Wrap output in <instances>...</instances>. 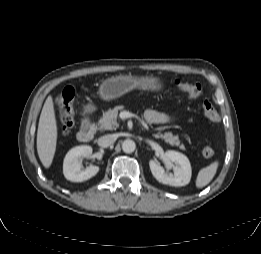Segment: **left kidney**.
<instances>
[{
    "instance_id": "5707ae66",
    "label": "left kidney",
    "mask_w": 261,
    "mask_h": 254,
    "mask_svg": "<svg viewBox=\"0 0 261 254\" xmlns=\"http://www.w3.org/2000/svg\"><path fill=\"white\" fill-rule=\"evenodd\" d=\"M164 158L169 163H174L173 174L166 173L164 168L154 160L149 161L152 175L157 181L170 186H185L190 182L192 170L188 158L177 151L168 150L164 154Z\"/></svg>"
}]
</instances>
